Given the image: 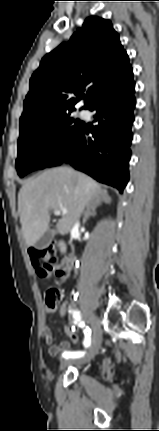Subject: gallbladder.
<instances>
[{"mask_svg":"<svg viewBox=\"0 0 159 431\" xmlns=\"http://www.w3.org/2000/svg\"><path fill=\"white\" fill-rule=\"evenodd\" d=\"M54 232L52 229H48L36 242L35 248L43 249L47 247L53 240Z\"/></svg>","mask_w":159,"mask_h":431,"instance_id":"gallbladder-1","label":"gallbladder"}]
</instances>
